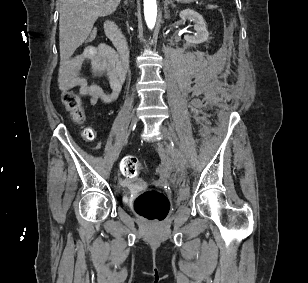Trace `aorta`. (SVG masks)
<instances>
[{"label":"aorta","instance_id":"aorta-1","mask_svg":"<svg viewBox=\"0 0 308 283\" xmlns=\"http://www.w3.org/2000/svg\"><path fill=\"white\" fill-rule=\"evenodd\" d=\"M144 15L147 26L153 29L157 17V4L156 0H144Z\"/></svg>","mask_w":308,"mask_h":283}]
</instances>
